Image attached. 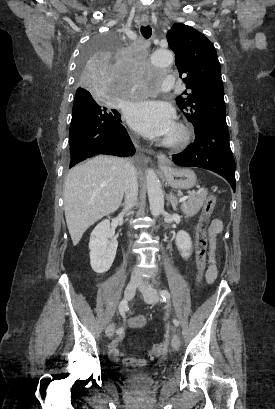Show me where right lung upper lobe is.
<instances>
[{
  "instance_id": "cb5924a9",
  "label": "right lung upper lobe",
  "mask_w": 275,
  "mask_h": 409,
  "mask_svg": "<svg viewBox=\"0 0 275 409\" xmlns=\"http://www.w3.org/2000/svg\"><path fill=\"white\" fill-rule=\"evenodd\" d=\"M77 91H85V90H79V89H77Z\"/></svg>"
}]
</instances>
